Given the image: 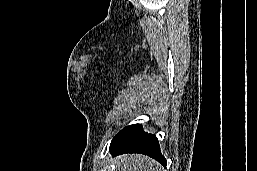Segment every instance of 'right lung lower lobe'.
<instances>
[{"mask_svg":"<svg viewBox=\"0 0 257 171\" xmlns=\"http://www.w3.org/2000/svg\"><path fill=\"white\" fill-rule=\"evenodd\" d=\"M110 152L113 155L141 153L166 166V159L161 154L156 136L144 132L141 124H133L119 131L112 139Z\"/></svg>","mask_w":257,"mask_h":171,"instance_id":"right-lung-lower-lobe-1","label":"right lung lower lobe"}]
</instances>
